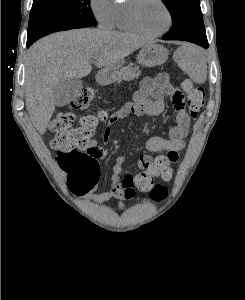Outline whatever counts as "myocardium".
Instances as JSON below:
<instances>
[{"label": "myocardium", "mask_w": 245, "mask_h": 300, "mask_svg": "<svg viewBox=\"0 0 245 300\" xmlns=\"http://www.w3.org/2000/svg\"><path fill=\"white\" fill-rule=\"evenodd\" d=\"M156 1L164 8V10L167 14V18H168V23H167L166 27L157 32H152V31L147 30L143 26V24L140 20L139 11H140L141 4L144 2V0H129L128 6H127V14H128L130 23L140 33L147 35V36H152V37L161 36L164 33H166L172 26V22H173L171 10H170L169 6L166 4V2L164 0H156Z\"/></svg>", "instance_id": "myocardium-1"}]
</instances>
